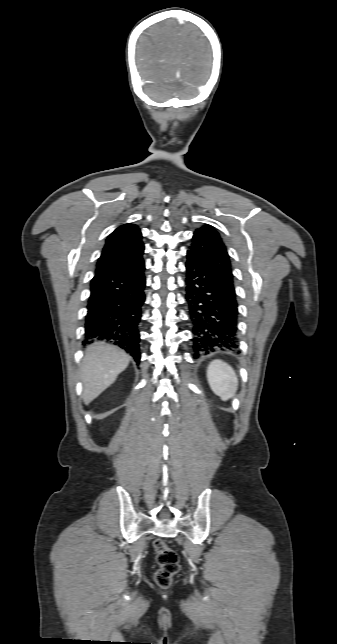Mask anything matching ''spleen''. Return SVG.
Listing matches in <instances>:
<instances>
[{"instance_id":"spleen-1","label":"spleen","mask_w":337,"mask_h":644,"mask_svg":"<svg viewBox=\"0 0 337 644\" xmlns=\"http://www.w3.org/2000/svg\"><path fill=\"white\" fill-rule=\"evenodd\" d=\"M207 379L212 391L224 401L232 398L238 389L235 371L222 360L210 362L207 368Z\"/></svg>"}]
</instances>
